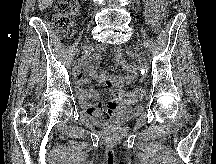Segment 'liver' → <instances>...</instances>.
Instances as JSON below:
<instances>
[{"mask_svg": "<svg viewBox=\"0 0 216 164\" xmlns=\"http://www.w3.org/2000/svg\"><path fill=\"white\" fill-rule=\"evenodd\" d=\"M55 0H38V7L42 11L50 7Z\"/></svg>", "mask_w": 216, "mask_h": 164, "instance_id": "liver-1", "label": "liver"}]
</instances>
